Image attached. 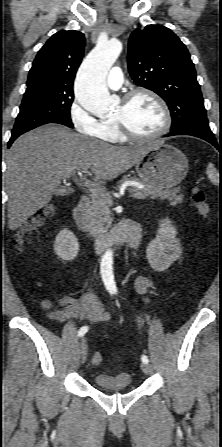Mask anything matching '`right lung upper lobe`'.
<instances>
[{"label":"right lung upper lobe","mask_w":222,"mask_h":447,"mask_svg":"<svg viewBox=\"0 0 222 447\" xmlns=\"http://www.w3.org/2000/svg\"><path fill=\"white\" fill-rule=\"evenodd\" d=\"M84 46V34L79 31L55 33L39 50L29 71L27 88L44 85L73 91Z\"/></svg>","instance_id":"cb5924a9"}]
</instances>
